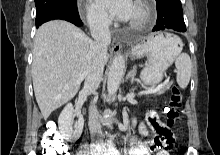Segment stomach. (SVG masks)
Instances as JSON below:
<instances>
[{
  "mask_svg": "<svg viewBox=\"0 0 220 155\" xmlns=\"http://www.w3.org/2000/svg\"><path fill=\"white\" fill-rule=\"evenodd\" d=\"M182 47L181 39L167 32L151 36L136 46L131 52L133 58H139L143 55L149 56L148 64L141 72L142 81L148 85L159 83L165 71L181 52Z\"/></svg>",
  "mask_w": 220,
  "mask_h": 155,
  "instance_id": "1",
  "label": "stomach"
}]
</instances>
